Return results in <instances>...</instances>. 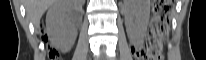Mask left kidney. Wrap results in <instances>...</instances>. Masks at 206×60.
I'll use <instances>...</instances> for the list:
<instances>
[{
	"mask_svg": "<svg viewBox=\"0 0 206 60\" xmlns=\"http://www.w3.org/2000/svg\"><path fill=\"white\" fill-rule=\"evenodd\" d=\"M149 0H129L125 12V24L132 42L140 43L149 22Z\"/></svg>",
	"mask_w": 206,
	"mask_h": 60,
	"instance_id": "obj_1",
	"label": "left kidney"
}]
</instances>
